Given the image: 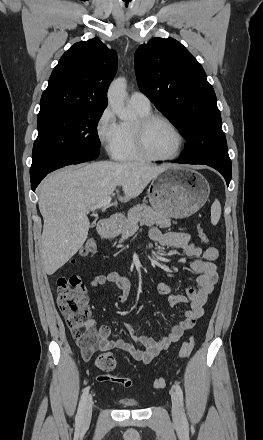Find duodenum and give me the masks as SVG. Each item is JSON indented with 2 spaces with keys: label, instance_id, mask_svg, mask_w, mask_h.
<instances>
[{
  "label": "duodenum",
  "instance_id": "410a0bca",
  "mask_svg": "<svg viewBox=\"0 0 263 440\" xmlns=\"http://www.w3.org/2000/svg\"><path fill=\"white\" fill-rule=\"evenodd\" d=\"M110 224H111V219H110V218H105V219H103V220L100 222V225H99V232H100V234L103 235L105 238L108 237V233H109V231H108V227L110 226Z\"/></svg>",
  "mask_w": 263,
  "mask_h": 440
}]
</instances>
